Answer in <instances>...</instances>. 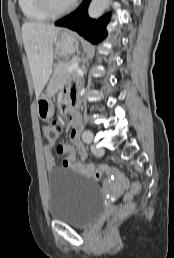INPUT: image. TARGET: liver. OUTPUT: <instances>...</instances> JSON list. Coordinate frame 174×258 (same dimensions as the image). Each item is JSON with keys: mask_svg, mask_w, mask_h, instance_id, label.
I'll return each mask as SVG.
<instances>
[{"mask_svg": "<svg viewBox=\"0 0 174 258\" xmlns=\"http://www.w3.org/2000/svg\"><path fill=\"white\" fill-rule=\"evenodd\" d=\"M54 25L26 22L22 25L24 48L29 61L36 98L42 93L52 71L53 44L60 32Z\"/></svg>", "mask_w": 174, "mask_h": 258, "instance_id": "6515ba94", "label": "liver"}]
</instances>
